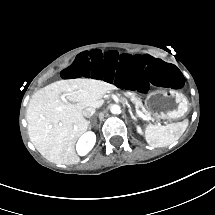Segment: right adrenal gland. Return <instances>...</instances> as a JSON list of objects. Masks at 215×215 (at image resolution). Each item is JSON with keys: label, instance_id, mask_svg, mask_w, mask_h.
<instances>
[{"label": "right adrenal gland", "instance_id": "right-adrenal-gland-1", "mask_svg": "<svg viewBox=\"0 0 215 215\" xmlns=\"http://www.w3.org/2000/svg\"><path fill=\"white\" fill-rule=\"evenodd\" d=\"M88 128H89V130L91 129L90 121H88Z\"/></svg>", "mask_w": 215, "mask_h": 215}]
</instances>
